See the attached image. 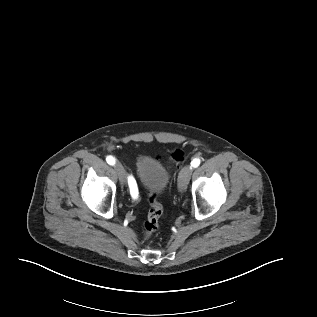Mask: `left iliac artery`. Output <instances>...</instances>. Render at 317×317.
<instances>
[{
  "instance_id": "left-iliac-artery-1",
  "label": "left iliac artery",
  "mask_w": 317,
  "mask_h": 317,
  "mask_svg": "<svg viewBox=\"0 0 317 317\" xmlns=\"http://www.w3.org/2000/svg\"><path fill=\"white\" fill-rule=\"evenodd\" d=\"M199 165H200V159L199 158H195V159L192 160V162H191V166L192 167L196 168Z\"/></svg>"
}]
</instances>
